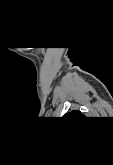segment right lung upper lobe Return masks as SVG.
Wrapping results in <instances>:
<instances>
[{
    "label": "right lung upper lobe",
    "instance_id": "cb5924a9",
    "mask_svg": "<svg viewBox=\"0 0 113 165\" xmlns=\"http://www.w3.org/2000/svg\"><path fill=\"white\" fill-rule=\"evenodd\" d=\"M64 118H70V117H74V118H83L84 115L80 112V111H77V110H73L69 113H66L64 116Z\"/></svg>",
    "mask_w": 113,
    "mask_h": 165
}]
</instances>
